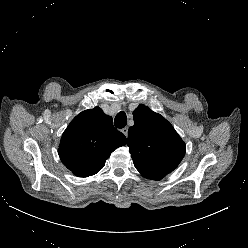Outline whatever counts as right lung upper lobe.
<instances>
[{"label":"right lung upper lobe","mask_w":248,"mask_h":248,"mask_svg":"<svg viewBox=\"0 0 248 248\" xmlns=\"http://www.w3.org/2000/svg\"><path fill=\"white\" fill-rule=\"evenodd\" d=\"M127 139L113 126L112 117L95 107L81 112L64 131L59 157L78 177H88L100 171L106 159Z\"/></svg>","instance_id":"1"}]
</instances>
